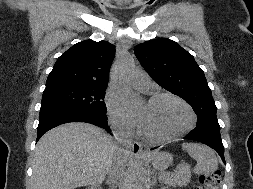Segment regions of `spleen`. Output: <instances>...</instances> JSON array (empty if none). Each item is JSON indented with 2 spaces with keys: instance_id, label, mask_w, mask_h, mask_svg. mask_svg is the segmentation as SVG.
Listing matches in <instances>:
<instances>
[{
  "instance_id": "obj_1",
  "label": "spleen",
  "mask_w": 253,
  "mask_h": 189,
  "mask_svg": "<svg viewBox=\"0 0 253 189\" xmlns=\"http://www.w3.org/2000/svg\"><path fill=\"white\" fill-rule=\"evenodd\" d=\"M182 148L197 161V165L193 169L195 174H209L218 169V159L212 148L188 142L183 143Z\"/></svg>"
}]
</instances>
